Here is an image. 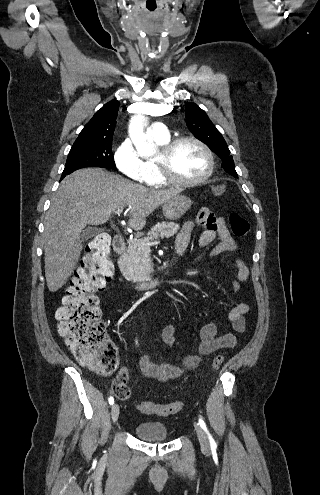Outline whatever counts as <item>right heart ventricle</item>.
Listing matches in <instances>:
<instances>
[{"mask_svg":"<svg viewBox=\"0 0 320 495\" xmlns=\"http://www.w3.org/2000/svg\"><path fill=\"white\" fill-rule=\"evenodd\" d=\"M154 141L158 145L162 146L165 143H167L169 141V139L161 140V139H155L154 138ZM144 163H145L146 169L149 172V181L147 182L149 185L155 186V187H160V186H164L167 184V182L160 176L158 169L156 167V164H155V160H147Z\"/></svg>","mask_w":320,"mask_h":495,"instance_id":"right-heart-ventricle-1","label":"right heart ventricle"}]
</instances>
